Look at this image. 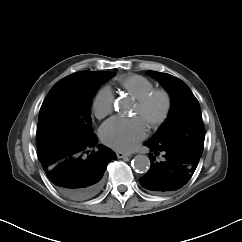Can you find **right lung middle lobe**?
<instances>
[{
	"label": "right lung middle lobe",
	"mask_w": 242,
	"mask_h": 242,
	"mask_svg": "<svg viewBox=\"0 0 242 242\" xmlns=\"http://www.w3.org/2000/svg\"><path fill=\"white\" fill-rule=\"evenodd\" d=\"M115 75L97 72L85 81L64 80L56 83L42 103L37 144L43 147L54 140L82 142L93 134L90 107L98 88Z\"/></svg>",
	"instance_id": "obj_1"
}]
</instances>
